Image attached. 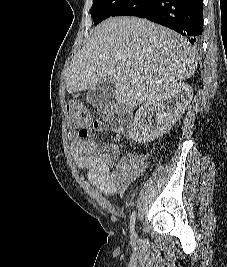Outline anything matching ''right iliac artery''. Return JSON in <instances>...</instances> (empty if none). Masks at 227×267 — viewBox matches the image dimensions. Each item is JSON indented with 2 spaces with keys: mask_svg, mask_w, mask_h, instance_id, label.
Wrapping results in <instances>:
<instances>
[{
  "mask_svg": "<svg viewBox=\"0 0 227 267\" xmlns=\"http://www.w3.org/2000/svg\"><path fill=\"white\" fill-rule=\"evenodd\" d=\"M134 225H135V211L132 213L130 217V232L132 235L134 234Z\"/></svg>",
  "mask_w": 227,
  "mask_h": 267,
  "instance_id": "right-iliac-artery-1",
  "label": "right iliac artery"
}]
</instances>
